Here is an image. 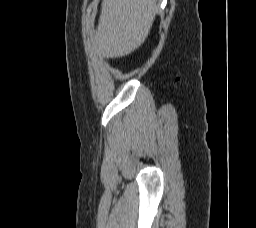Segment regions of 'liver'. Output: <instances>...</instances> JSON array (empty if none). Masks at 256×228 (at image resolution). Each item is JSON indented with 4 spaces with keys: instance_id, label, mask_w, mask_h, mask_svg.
<instances>
[{
    "instance_id": "obj_1",
    "label": "liver",
    "mask_w": 256,
    "mask_h": 228,
    "mask_svg": "<svg viewBox=\"0 0 256 228\" xmlns=\"http://www.w3.org/2000/svg\"><path fill=\"white\" fill-rule=\"evenodd\" d=\"M157 12L156 0H103L95 34L106 58L129 55L146 40Z\"/></svg>"
}]
</instances>
